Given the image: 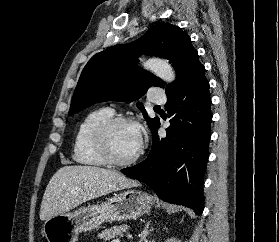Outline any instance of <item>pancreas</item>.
<instances>
[{
  "label": "pancreas",
  "instance_id": "obj_1",
  "mask_svg": "<svg viewBox=\"0 0 279 242\" xmlns=\"http://www.w3.org/2000/svg\"><path fill=\"white\" fill-rule=\"evenodd\" d=\"M128 229L127 225L113 226L112 228L105 229L98 234V238L102 239L104 242L110 241L112 238L117 236H123V233Z\"/></svg>",
  "mask_w": 279,
  "mask_h": 242
}]
</instances>
